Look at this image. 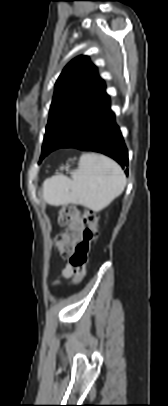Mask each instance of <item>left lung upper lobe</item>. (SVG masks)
Instances as JSON below:
<instances>
[{
	"label": "left lung upper lobe",
	"instance_id": "5c2ea615",
	"mask_svg": "<svg viewBox=\"0 0 168 406\" xmlns=\"http://www.w3.org/2000/svg\"><path fill=\"white\" fill-rule=\"evenodd\" d=\"M105 94V84L87 56L67 64L55 85L40 161L79 132Z\"/></svg>",
	"mask_w": 168,
	"mask_h": 406
}]
</instances>
